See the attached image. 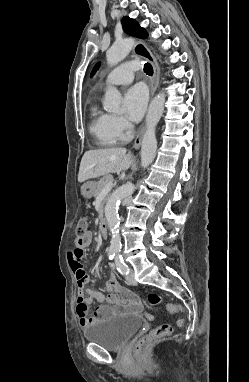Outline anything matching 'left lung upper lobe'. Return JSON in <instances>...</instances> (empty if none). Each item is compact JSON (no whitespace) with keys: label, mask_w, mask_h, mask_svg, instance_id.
I'll return each instance as SVG.
<instances>
[{"label":"left lung upper lobe","mask_w":249,"mask_h":382,"mask_svg":"<svg viewBox=\"0 0 249 382\" xmlns=\"http://www.w3.org/2000/svg\"><path fill=\"white\" fill-rule=\"evenodd\" d=\"M122 25H123L124 31L129 35L141 37V38L147 37V32L145 31V29L140 27L139 24L134 19H131L129 17H124L122 19ZM99 65L100 64L98 63L94 67L91 76L94 75V73L98 69Z\"/></svg>","instance_id":"left-lung-upper-lobe-1"}]
</instances>
